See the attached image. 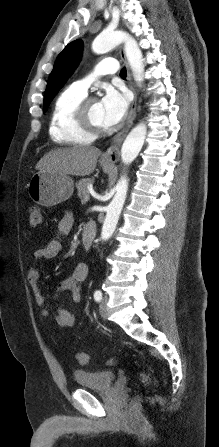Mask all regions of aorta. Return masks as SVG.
Listing matches in <instances>:
<instances>
[{"mask_svg":"<svg viewBox=\"0 0 219 447\" xmlns=\"http://www.w3.org/2000/svg\"><path fill=\"white\" fill-rule=\"evenodd\" d=\"M122 42L124 43L125 54L133 75L136 81L141 83L144 72L142 52L132 36L123 31H103L94 39L92 50L96 54H104ZM146 133L147 128L144 123L138 124L129 132L121 148V160L124 165L131 164L138 156L144 144ZM127 190L128 179L126 175H123L116 184L115 195L106 209V216L101 232V239L104 241L108 240L116 229L126 200Z\"/></svg>","mask_w":219,"mask_h":447,"instance_id":"obj_1","label":"aorta"}]
</instances>
